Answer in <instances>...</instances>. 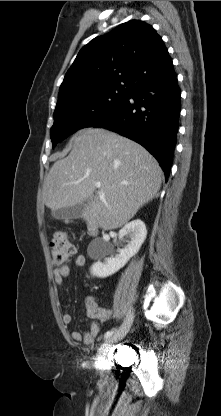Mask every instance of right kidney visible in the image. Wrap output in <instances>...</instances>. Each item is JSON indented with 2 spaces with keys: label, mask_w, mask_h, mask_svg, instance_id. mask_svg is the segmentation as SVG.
<instances>
[{
  "label": "right kidney",
  "mask_w": 221,
  "mask_h": 416,
  "mask_svg": "<svg viewBox=\"0 0 221 416\" xmlns=\"http://www.w3.org/2000/svg\"><path fill=\"white\" fill-rule=\"evenodd\" d=\"M128 235L130 241L128 244L120 249L115 256L105 258L103 262L99 259L91 267V274L99 278H105L119 271L125 264L133 257L144 243L147 235L146 226L140 219L133 220L127 223L120 231L119 238L122 239ZM104 252L101 258L106 255V246L104 245Z\"/></svg>",
  "instance_id": "1"
}]
</instances>
